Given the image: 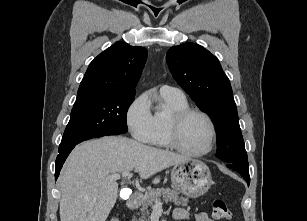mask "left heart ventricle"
I'll use <instances>...</instances> for the list:
<instances>
[{
  "label": "left heart ventricle",
  "instance_id": "b2bd125f",
  "mask_svg": "<svg viewBox=\"0 0 307 221\" xmlns=\"http://www.w3.org/2000/svg\"><path fill=\"white\" fill-rule=\"evenodd\" d=\"M210 142V128L200 115H191L183 123L180 132L181 145L194 152L205 150Z\"/></svg>",
  "mask_w": 307,
  "mask_h": 221
}]
</instances>
